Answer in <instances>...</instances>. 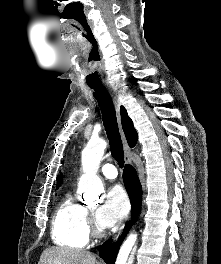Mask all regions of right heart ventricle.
<instances>
[{
  "label": "right heart ventricle",
  "instance_id": "1",
  "mask_svg": "<svg viewBox=\"0 0 221 264\" xmlns=\"http://www.w3.org/2000/svg\"><path fill=\"white\" fill-rule=\"evenodd\" d=\"M51 236L56 245L68 248H83L89 242L88 211L71 194L62 199L54 214Z\"/></svg>",
  "mask_w": 221,
  "mask_h": 264
}]
</instances>
